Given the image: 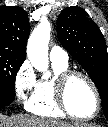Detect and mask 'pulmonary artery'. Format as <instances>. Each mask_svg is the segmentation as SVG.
I'll use <instances>...</instances> for the list:
<instances>
[{"mask_svg":"<svg viewBox=\"0 0 108 127\" xmlns=\"http://www.w3.org/2000/svg\"><path fill=\"white\" fill-rule=\"evenodd\" d=\"M49 57L51 62L62 63V64L68 63L67 52L59 46H54L51 48Z\"/></svg>","mask_w":108,"mask_h":127,"instance_id":"pulmonary-artery-1","label":"pulmonary artery"}]
</instances>
